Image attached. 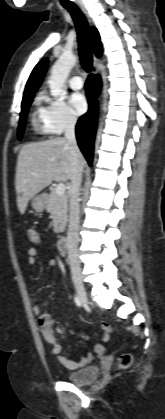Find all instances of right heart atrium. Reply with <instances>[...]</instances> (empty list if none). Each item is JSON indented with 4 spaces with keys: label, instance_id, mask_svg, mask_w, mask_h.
<instances>
[{
    "label": "right heart atrium",
    "instance_id": "d8ad5b80",
    "mask_svg": "<svg viewBox=\"0 0 165 419\" xmlns=\"http://www.w3.org/2000/svg\"><path fill=\"white\" fill-rule=\"evenodd\" d=\"M40 102L39 118L44 133L60 135L75 127L77 116L63 98L44 93Z\"/></svg>",
    "mask_w": 165,
    "mask_h": 419
}]
</instances>
